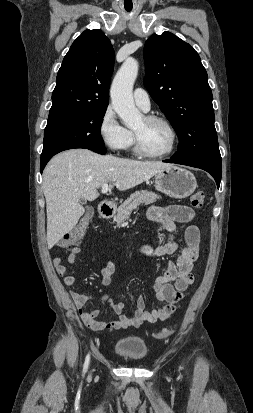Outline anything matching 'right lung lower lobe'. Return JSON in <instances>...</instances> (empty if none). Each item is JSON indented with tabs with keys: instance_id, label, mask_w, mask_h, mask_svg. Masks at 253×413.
I'll use <instances>...</instances> for the list:
<instances>
[{
	"instance_id": "right-lung-lower-lobe-1",
	"label": "right lung lower lobe",
	"mask_w": 253,
	"mask_h": 413,
	"mask_svg": "<svg viewBox=\"0 0 253 413\" xmlns=\"http://www.w3.org/2000/svg\"><path fill=\"white\" fill-rule=\"evenodd\" d=\"M74 148H83V149H89L92 150L96 153H99L101 155L106 154V148L104 145H95V146H84V145H67V146H62L59 147L53 151H50L46 154H41V159H40V172L42 173L44 167L46 166L47 162L57 153L68 150V149H74Z\"/></svg>"
}]
</instances>
